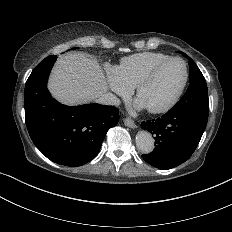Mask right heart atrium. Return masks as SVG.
I'll return each instance as SVG.
<instances>
[{
	"instance_id": "1",
	"label": "right heart atrium",
	"mask_w": 232,
	"mask_h": 232,
	"mask_svg": "<svg viewBox=\"0 0 232 232\" xmlns=\"http://www.w3.org/2000/svg\"><path fill=\"white\" fill-rule=\"evenodd\" d=\"M104 68L108 72L110 79L113 84V92L117 94H123V93H128L129 89L126 88L123 83L119 80L117 73H116V66H113L109 63H104L103 64Z\"/></svg>"
}]
</instances>
